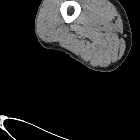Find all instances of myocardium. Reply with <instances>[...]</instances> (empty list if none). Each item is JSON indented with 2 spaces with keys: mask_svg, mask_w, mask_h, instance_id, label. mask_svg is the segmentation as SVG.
Instances as JSON below:
<instances>
[{
  "mask_svg": "<svg viewBox=\"0 0 140 140\" xmlns=\"http://www.w3.org/2000/svg\"><path fill=\"white\" fill-rule=\"evenodd\" d=\"M96 7V3L90 6V9L93 10ZM92 20V18H91ZM90 20V21H91ZM119 44L121 45V53L114 56H107L104 52V47L107 45ZM126 46L122 39L116 36L109 35H95L94 40L89 43L88 52L85 56V60L95 67H106L112 64L119 62L125 54Z\"/></svg>",
  "mask_w": 140,
  "mask_h": 140,
  "instance_id": "obj_1",
  "label": "myocardium"
}]
</instances>
